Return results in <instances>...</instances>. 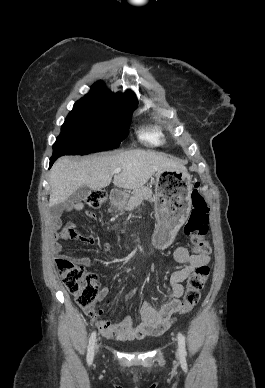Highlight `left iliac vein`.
Wrapping results in <instances>:
<instances>
[{"label": "left iliac vein", "instance_id": "left-iliac-vein-1", "mask_svg": "<svg viewBox=\"0 0 265 388\" xmlns=\"http://www.w3.org/2000/svg\"><path fill=\"white\" fill-rule=\"evenodd\" d=\"M176 355L178 356V350H177V352H176Z\"/></svg>", "mask_w": 265, "mask_h": 388}]
</instances>
